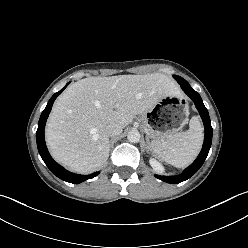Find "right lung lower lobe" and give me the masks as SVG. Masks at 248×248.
I'll list each match as a JSON object with an SVG mask.
<instances>
[{
  "mask_svg": "<svg viewBox=\"0 0 248 248\" xmlns=\"http://www.w3.org/2000/svg\"><path fill=\"white\" fill-rule=\"evenodd\" d=\"M66 86L62 90L55 93L51 97V99L48 101L46 108L43 110V112L40 116V119H39V123H38V129L36 132V141H37V147H38L39 154L42 157L45 164L47 165V167L49 168V170L54 175H56L58 178H60L64 181H67V182H70L73 184H79V183H81L87 179H91V178L97 176L99 174V172H95V173H92L90 175H78V174H74V173L67 171L66 169H64L62 166H60L58 163H56L52 159V157L50 156L48 149L46 147L45 138H44V128H45V124H46V120L48 118V115L51 111L53 102L55 101L57 96L66 88Z\"/></svg>",
  "mask_w": 248,
  "mask_h": 248,
  "instance_id": "1",
  "label": "right lung lower lobe"
}]
</instances>
